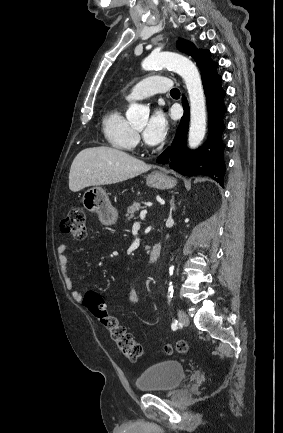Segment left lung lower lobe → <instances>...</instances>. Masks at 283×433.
I'll return each mask as SVG.
<instances>
[{"label": "left lung lower lobe", "mask_w": 283, "mask_h": 433, "mask_svg": "<svg viewBox=\"0 0 283 433\" xmlns=\"http://www.w3.org/2000/svg\"><path fill=\"white\" fill-rule=\"evenodd\" d=\"M209 54V51H204L195 59L202 70L204 92L208 101L210 134L207 142L195 151L186 148L189 113L186 98L183 97L184 116L171 147L157 158V162H169L170 168L185 176L207 175L224 186L226 167L222 134L225 130L223 117L227 111L224 104L226 93L221 87L222 77L216 72L218 64L210 60Z\"/></svg>", "instance_id": "left-lung-lower-lobe-1"}]
</instances>
